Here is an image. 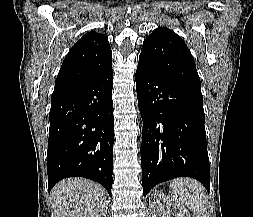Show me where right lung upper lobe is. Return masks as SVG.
<instances>
[{
    "instance_id": "cb5924a9",
    "label": "right lung upper lobe",
    "mask_w": 253,
    "mask_h": 217,
    "mask_svg": "<svg viewBox=\"0 0 253 217\" xmlns=\"http://www.w3.org/2000/svg\"><path fill=\"white\" fill-rule=\"evenodd\" d=\"M111 66L112 52L108 38L95 31L89 32L68 52L58 73L54 90L86 81Z\"/></svg>"
}]
</instances>
